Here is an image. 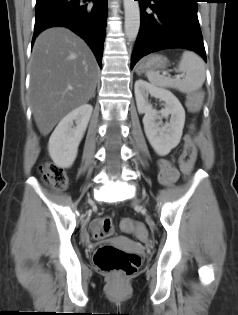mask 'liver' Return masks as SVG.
<instances>
[{
	"instance_id": "obj_1",
	"label": "liver",
	"mask_w": 238,
	"mask_h": 315,
	"mask_svg": "<svg viewBox=\"0 0 238 315\" xmlns=\"http://www.w3.org/2000/svg\"><path fill=\"white\" fill-rule=\"evenodd\" d=\"M97 73L92 51L69 29L54 27L37 37L31 59L30 96L34 120L43 136L66 114L91 99Z\"/></svg>"
}]
</instances>
